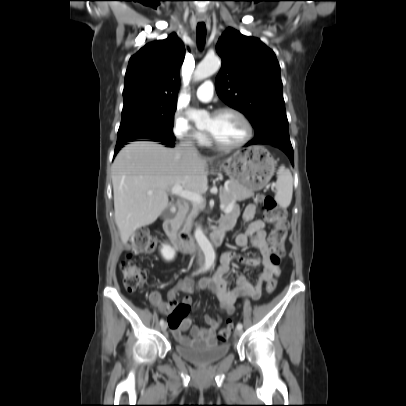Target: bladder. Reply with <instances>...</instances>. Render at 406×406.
Masks as SVG:
<instances>
[{"mask_svg":"<svg viewBox=\"0 0 406 406\" xmlns=\"http://www.w3.org/2000/svg\"><path fill=\"white\" fill-rule=\"evenodd\" d=\"M175 351L185 360L199 365H207L224 358L229 353L230 346L228 344L196 346L177 342L175 344Z\"/></svg>","mask_w":406,"mask_h":406,"instance_id":"31cf9c89","label":"bladder"}]
</instances>
